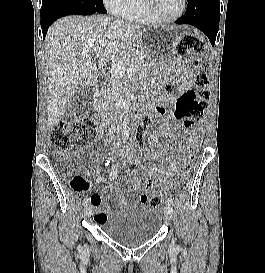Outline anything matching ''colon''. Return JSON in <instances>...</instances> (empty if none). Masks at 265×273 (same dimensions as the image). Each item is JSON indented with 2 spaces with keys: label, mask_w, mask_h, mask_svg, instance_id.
<instances>
[{
  "label": "colon",
  "mask_w": 265,
  "mask_h": 273,
  "mask_svg": "<svg viewBox=\"0 0 265 273\" xmlns=\"http://www.w3.org/2000/svg\"><path fill=\"white\" fill-rule=\"evenodd\" d=\"M205 47L198 36L188 33L182 37L177 43L176 51L180 55L200 54ZM193 65L198 68V60L193 58ZM194 83L197 86L196 90H190L183 93L176 102L175 117L187 127L194 124V120L205 115L208 109L210 93L208 90L209 78L206 73L197 71L194 75ZM174 87L171 83L166 84V90L171 92ZM157 110H152L145 114L136 130V141L140 144L144 141L145 133L156 123ZM159 114V113H158ZM97 136V126L89 118H85L80 122H60L56 124L50 133V142L59 156H67L75 140L88 141L93 140ZM186 152H197L200 148V136H197L195 128H188L186 132ZM192 167V157L188 156L181 166V171L187 175ZM139 165L132 163L129 166L130 172H137ZM70 187L74 191H79L84 187V182L79 176L73 177L69 181ZM144 188L146 190H156L157 197L152 201L154 205L158 204L163 198L165 191L158 187L157 182L147 177L144 180ZM147 199V198H146Z\"/></svg>",
  "instance_id": "5ec220e1"
}]
</instances>
